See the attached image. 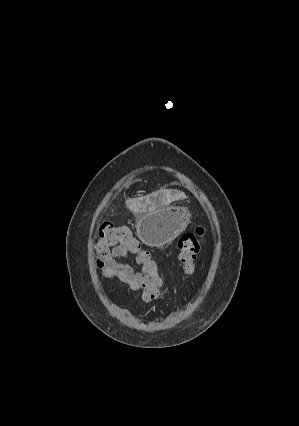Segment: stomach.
Listing matches in <instances>:
<instances>
[{
    "instance_id": "1",
    "label": "stomach",
    "mask_w": 299,
    "mask_h": 426,
    "mask_svg": "<svg viewBox=\"0 0 299 426\" xmlns=\"http://www.w3.org/2000/svg\"><path fill=\"white\" fill-rule=\"evenodd\" d=\"M191 214L181 206H161L142 214L136 221L138 238L148 246L171 243L190 223Z\"/></svg>"
}]
</instances>
